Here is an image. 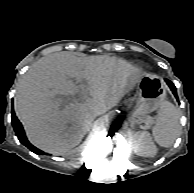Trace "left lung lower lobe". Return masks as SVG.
Returning a JSON list of instances; mask_svg holds the SVG:
<instances>
[{
  "mask_svg": "<svg viewBox=\"0 0 194 193\" xmlns=\"http://www.w3.org/2000/svg\"><path fill=\"white\" fill-rule=\"evenodd\" d=\"M165 80H166L168 86L170 87V89L172 90V92H173L174 96L176 97V99H178L177 92H176V87L174 86V84L171 81L167 80V79H165Z\"/></svg>",
  "mask_w": 194,
  "mask_h": 193,
  "instance_id": "left-lung-lower-lobe-1",
  "label": "left lung lower lobe"
}]
</instances>
